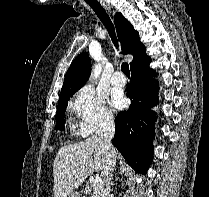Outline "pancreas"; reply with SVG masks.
<instances>
[{
	"label": "pancreas",
	"mask_w": 209,
	"mask_h": 197,
	"mask_svg": "<svg viewBox=\"0 0 209 197\" xmlns=\"http://www.w3.org/2000/svg\"><path fill=\"white\" fill-rule=\"evenodd\" d=\"M101 185H95L94 183H90V185L86 186L84 193L91 194V197H100Z\"/></svg>",
	"instance_id": "pancreas-1"
}]
</instances>
